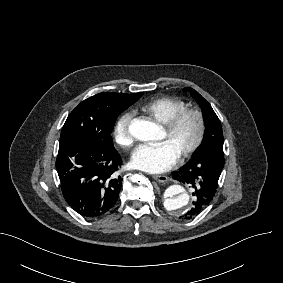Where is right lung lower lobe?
Masks as SVG:
<instances>
[{"instance_id": "98d812e1", "label": "right lung lower lobe", "mask_w": 283, "mask_h": 283, "mask_svg": "<svg viewBox=\"0 0 283 283\" xmlns=\"http://www.w3.org/2000/svg\"><path fill=\"white\" fill-rule=\"evenodd\" d=\"M121 164L114 147L97 146L83 139L61 141L56 169L64 199L83 217L103 216L119 196Z\"/></svg>"}]
</instances>
